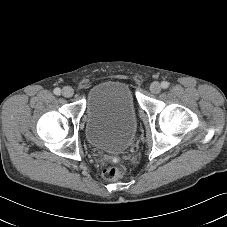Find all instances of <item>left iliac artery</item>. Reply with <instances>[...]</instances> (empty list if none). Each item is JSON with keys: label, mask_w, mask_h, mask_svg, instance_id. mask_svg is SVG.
<instances>
[{"label": "left iliac artery", "mask_w": 227, "mask_h": 227, "mask_svg": "<svg viewBox=\"0 0 227 227\" xmlns=\"http://www.w3.org/2000/svg\"><path fill=\"white\" fill-rule=\"evenodd\" d=\"M161 86H162V88L166 89V88H168L169 83H168L167 81H163V82L161 83Z\"/></svg>", "instance_id": "44dca946"}]
</instances>
